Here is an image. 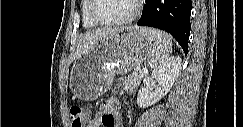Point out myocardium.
Segmentation results:
<instances>
[{"label":"myocardium","mask_w":243,"mask_h":127,"mask_svg":"<svg viewBox=\"0 0 243 127\" xmlns=\"http://www.w3.org/2000/svg\"><path fill=\"white\" fill-rule=\"evenodd\" d=\"M133 1H134V10L130 15L114 21H105L98 18V16L96 15L95 8H96L97 0H90L91 3L90 10H89L90 18L97 25L104 26V27L120 26V25L130 23L138 17L142 8V0H133Z\"/></svg>","instance_id":"obj_1"}]
</instances>
